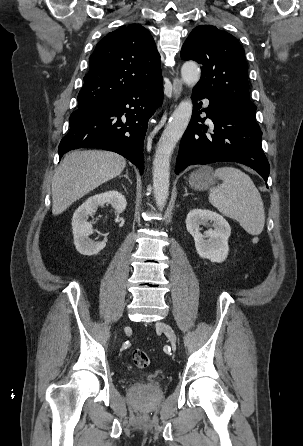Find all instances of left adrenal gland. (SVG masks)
Wrapping results in <instances>:
<instances>
[{
	"label": "left adrenal gland",
	"instance_id": "1",
	"mask_svg": "<svg viewBox=\"0 0 303 446\" xmlns=\"http://www.w3.org/2000/svg\"><path fill=\"white\" fill-rule=\"evenodd\" d=\"M184 190H185V194H184V197H185V196H188V195H189V193H188V191H187V188H185Z\"/></svg>",
	"mask_w": 303,
	"mask_h": 446
}]
</instances>
